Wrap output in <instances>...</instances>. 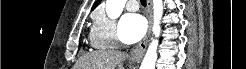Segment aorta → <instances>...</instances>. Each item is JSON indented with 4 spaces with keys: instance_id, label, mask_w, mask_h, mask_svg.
<instances>
[{
    "instance_id": "762f6f07",
    "label": "aorta",
    "mask_w": 246,
    "mask_h": 69,
    "mask_svg": "<svg viewBox=\"0 0 246 69\" xmlns=\"http://www.w3.org/2000/svg\"><path fill=\"white\" fill-rule=\"evenodd\" d=\"M126 0H106V13L110 19L118 18L125 6ZM153 34L155 37L160 35V20L163 15V1L153 0ZM157 47L158 40L153 39L150 43L146 55L142 61L140 69H155V63L157 61Z\"/></svg>"
}]
</instances>
